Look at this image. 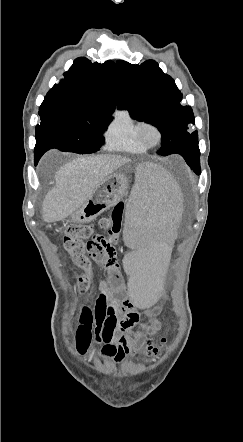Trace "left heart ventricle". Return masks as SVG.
Listing matches in <instances>:
<instances>
[{"instance_id": "obj_1", "label": "left heart ventricle", "mask_w": 243, "mask_h": 442, "mask_svg": "<svg viewBox=\"0 0 243 442\" xmlns=\"http://www.w3.org/2000/svg\"><path fill=\"white\" fill-rule=\"evenodd\" d=\"M144 137L147 142L155 143L157 141V133L153 128H148L144 132Z\"/></svg>"}]
</instances>
